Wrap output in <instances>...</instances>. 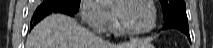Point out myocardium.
Listing matches in <instances>:
<instances>
[{"mask_svg":"<svg viewBox=\"0 0 213 48\" xmlns=\"http://www.w3.org/2000/svg\"><path fill=\"white\" fill-rule=\"evenodd\" d=\"M137 1L145 3L151 10L152 19H151V24L148 28H146L144 30H133V29L129 28L128 26H126L125 23L123 22L121 16L119 15V13L115 12L116 22H117L119 28L121 29V31L124 34L131 35V36H140V35L147 34V33L151 32L152 30H154L156 27V24H157V10L151 0H123L124 3H131V2H137Z\"/></svg>","mask_w":213,"mask_h":48,"instance_id":"1","label":"myocardium"}]
</instances>
